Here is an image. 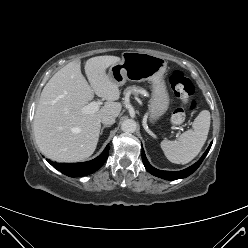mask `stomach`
I'll return each instance as SVG.
<instances>
[{"instance_id":"1","label":"stomach","mask_w":248,"mask_h":248,"mask_svg":"<svg viewBox=\"0 0 248 248\" xmlns=\"http://www.w3.org/2000/svg\"><path fill=\"white\" fill-rule=\"evenodd\" d=\"M166 61L156 55L144 52H124L121 61L111 65L109 76L114 83L122 86L126 81L151 84L152 94L149 104L151 122L157 121L168 110L169 94L164 81Z\"/></svg>"}]
</instances>
